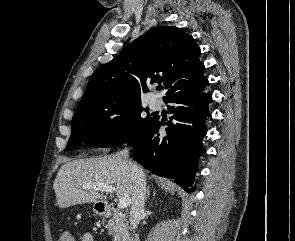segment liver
<instances>
[{"instance_id":"liver-1","label":"liver","mask_w":295,"mask_h":241,"mask_svg":"<svg viewBox=\"0 0 295 241\" xmlns=\"http://www.w3.org/2000/svg\"><path fill=\"white\" fill-rule=\"evenodd\" d=\"M87 184H104L115 188L117 196H132L134 185L127 160L119 154L66 162L55 178L53 189L59 208L84 203L105 202L106 196Z\"/></svg>"}]
</instances>
